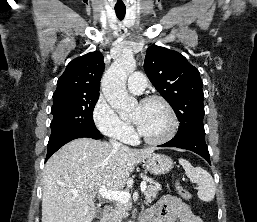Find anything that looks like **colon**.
Instances as JSON below:
<instances>
[{"mask_svg":"<svg viewBox=\"0 0 257 222\" xmlns=\"http://www.w3.org/2000/svg\"><path fill=\"white\" fill-rule=\"evenodd\" d=\"M178 192L183 198L188 199L190 197V193L188 192V190L181 185L178 186Z\"/></svg>","mask_w":257,"mask_h":222,"instance_id":"1","label":"colon"}]
</instances>
